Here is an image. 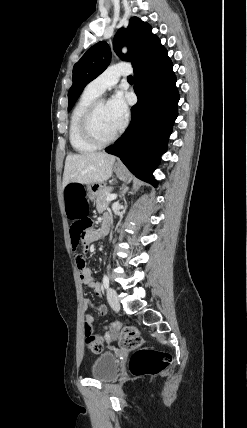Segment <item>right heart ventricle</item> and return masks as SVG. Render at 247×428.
Returning a JSON list of instances; mask_svg holds the SVG:
<instances>
[{
	"label": "right heart ventricle",
	"instance_id": "1",
	"mask_svg": "<svg viewBox=\"0 0 247 428\" xmlns=\"http://www.w3.org/2000/svg\"><path fill=\"white\" fill-rule=\"evenodd\" d=\"M98 97L99 95L86 88L72 110L69 123V141L72 148L79 153H90L98 149V146L84 138L80 127L83 114Z\"/></svg>",
	"mask_w": 247,
	"mask_h": 428
}]
</instances>
